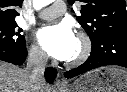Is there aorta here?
Wrapping results in <instances>:
<instances>
[{"label": "aorta", "instance_id": "aorta-1", "mask_svg": "<svg viewBox=\"0 0 127 92\" xmlns=\"http://www.w3.org/2000/svg\"><path fill=\"white\" fill-rule=\"evenodd\" d=\"M53 0H33V6L36 10H40L46 5L50 4Z\"/></svg>", "mask_w": 127, "mask_h": 92}]
</instances>
